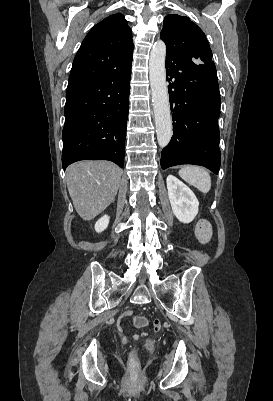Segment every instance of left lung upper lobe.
<instances>
[{
	"instance_id": "1",
	"label": "left lung upper lobe",
	"mask_w": 273,
	"mask_h": 401,
	"mask_svg": "<svg viewBox=\"0 0 273 401\" xmlns=\"http://www.w3.org/2000/svg\"><path fill=\"white\" fill-rule=\"evenodd\" d=\"M168 53L185 57L198 63L212 61V51L204 32L188 17L167 15L160 34Z\"/></svg>"
}]
</instances>
